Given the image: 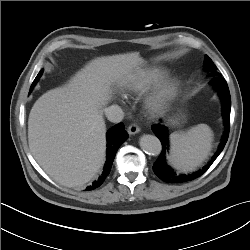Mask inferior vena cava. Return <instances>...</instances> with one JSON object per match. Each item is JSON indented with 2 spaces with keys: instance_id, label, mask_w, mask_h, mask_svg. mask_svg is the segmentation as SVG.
<instances>
[{
  "instance_id": "602c4592",
  "label": "inferior vena cava",
  "mask_w": 250,
  "mask_h": 250,
  "mask_svg": "<svg viewBox=\"0 0 250 250\" xmlns=\"http://www.w3.org/2000/svg\"><path fill=\"white\" fill-rule=\"evenodd\" d=\"M107 119L113 123H119L124 118V112L118 105H112L104 109Z\"/></svg>"
}]
</instances>
